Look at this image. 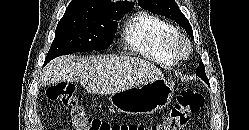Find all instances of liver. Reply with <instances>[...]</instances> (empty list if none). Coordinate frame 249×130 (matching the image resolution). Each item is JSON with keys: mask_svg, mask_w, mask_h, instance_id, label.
Instances as JSON below:
<instances>
[{"mask_svg": "<svg viewBox=\"0 0 249 130\" xmlns=\"http://www.w3.org/2000/svg\"><path fill=\"white\" fill-rule=\"evenodd\" d=\"M164 78L154 64L136 57L62 56L51 61L41 76V85L79 82L88 93L113 94Z\"/></svg>", "mask_w": 249, "mask_h": 130, "instance_id": "liver-1", "label": "liver"}]
</instances>
